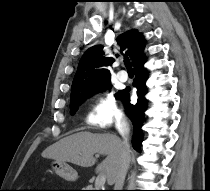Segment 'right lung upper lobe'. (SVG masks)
Returning a JSON list of instances; mask_svg holds the SVG:
<instances>
[{"label":"right lung upper lobe","instance_id":"right-lung-upper-lobe-1","mask_svg":"<svg viewBox=\"0 0 210 191\" xmlns=\"http://www.w3.org/2000/svg\"><path fill=\"white\" fill-rule=\"evenodd\" d=\"M117 42L120 52L128 55L133 63L144 49L143 36L136 30H130L119 35ZM113 61V58L104 56L102 45L89 48L80 59L71 87V99L110 82L111 75L109 67Z\"/></svg>","mask_w":210,"mask_h":191}]
</instances>
